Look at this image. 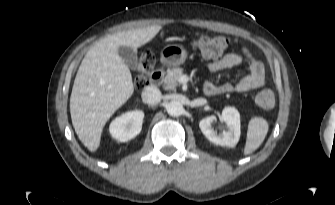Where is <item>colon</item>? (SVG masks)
<instances>
[{
  "label": "colon",
  "mask_w": 335,
  "mask_h": 205,
  "mask_svg": "<svg viewBox=\"0 0 335 205\" xmlns=\"http://www.w3.org/2000/svg\"><path fill=\"white\" fill-rule=\"evenodd\" d=\"M193 45L202 57L218 59L234 46V41L224 36H201L194 41ZM154 63L155 59L151 51H144L141 54L138 70L134 77V83L137 88L142 89L148 85V76L153 69ZM256 103L263 109H271L275 104L273 92L268 89L260 91L256 96Z\"/></svg>",
  "instance_id": "1"
}]
</instances>
